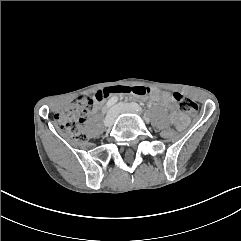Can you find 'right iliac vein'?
<instances>
[{
    "label": "right iliac vein",
    "mask_w": 241,
    "mask_h": 241,
    "mask_svg": "<svg viewBox=\"0 0 241 241\" xmlns=\"http://www.w3.org/2000/svg\"><path fill=\"white\" fill-rule=\"evenodd\" d=\"M117 113H118V111H117L116 107H113L108 111V113L104 119L105 127H107V128L112 127V125L114 124V121L116 119Z\"/></svg>",
    "instance_id": "63e3f726"
}]
</instances>
